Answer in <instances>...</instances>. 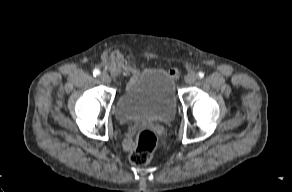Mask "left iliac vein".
Masks as SVG:
<instances>
[{
    "instance_id": "obj_1",
    "label": "left iliac vein",
    "mask_w": 292,
    "mask_h": 192,
    "mask_svg": "<svg viewBox=\"0 0 292 192\" xmlns=\"http://www.w3.org/2000/svg\"><path fill=\"white\" fill-rule=\"evenodd\" d=\"M196 79H197V75L194 72H189L185 77L186 83L190 85L195 83Z\"/></svg>"
}]
</instances>
